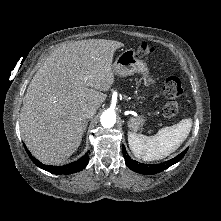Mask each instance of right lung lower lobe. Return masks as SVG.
<instances>
[{
  "label": "right lung lower lobe",
  "instance_id": "right-lung-lower-lobe-1",
  "mask_svg": "<svg viewBox=\"0 0 221 221\" xmlns=\"http://www.w3.org/2000/svg\"><path fill=\"white\" fill-rule=\"evenodd\" d=\"M25 147V145H24ZM26 152L28 153V155L30 156V158L32 159V161L41 169H44L50 173L53 174H72V173H76L78 171H81L82 169H84L89 161V156L86 153L83 157H81L79 160L72 162L68 165H64V166H50V165H44L41 162H39L37 159H35L30 152L26 149Z\"/></svg>",
  "mask_w": 221,
  "mask_h": 221
}]
</instances>
